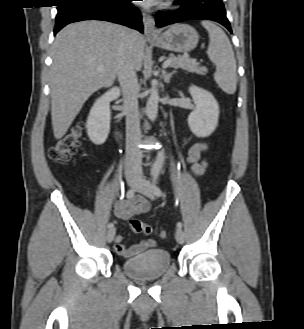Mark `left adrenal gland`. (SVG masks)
<instances>
[{"label": "left adrenal gland", "mask_w": 304, "mask_h": 329, "mask_svg": "<svg viewBox=\"0 0 304 329\" xmlns=\"http://www.w3.org/2000/svg\"><path fill=\"white\" fill-rule=\"evenodd\" d=\"M174 74H175V71L167 73L164 69H162V75H163L164 81L166 83H170V79Z\"/></svg>", "instance_id": "1"}]
</instances>
